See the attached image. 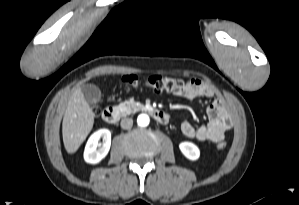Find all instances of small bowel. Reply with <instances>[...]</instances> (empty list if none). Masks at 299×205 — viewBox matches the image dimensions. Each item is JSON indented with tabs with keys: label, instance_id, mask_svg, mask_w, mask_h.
Returning <instances> with one entry per match:
<instances>
[{
	"label": "small bowel",
	"instance_id": "c3829d8e",
	"mask_svg": "<svg viewBox=\"0 0 299 205\" xmlns=\"http://www.w3.org/2000/svg\"><path fill=\"white\" fill-rule=\"evenodd\" d=\"M177 96L193 100L196 98H213L216 92L213 87L198 79L191 80L186 86L175 93ZM208 122L205 125L195 127L189 121L181 124V132L188 138H196L200 141H210L217 143L222 141L226 132L231 129V115L226 103L216 97L206 108Z\"/></svg>",
	"mask_w": 299,
	"mask_h": 205
}]
</instances>
